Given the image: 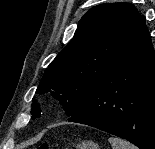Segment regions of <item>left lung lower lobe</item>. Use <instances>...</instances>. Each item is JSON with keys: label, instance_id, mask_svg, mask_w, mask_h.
I'll list each match as a JSON object with an SVG mask.
<instances>
[{"label": "left lung lower lobe", "instance_id": "0a47b994", "mask_svg": "<svg viewBox=\"0 0 155 149\" xmlns=\"http://www.w3.org/2000/svg\"><path fill=\"white\" fill-rule=\"evenodd\" d=\"M67 121L96 127L140 149H155V52L145 17Z\"/></svg>", "mask_w": 155, "mask_h": 149}]
</instances>
